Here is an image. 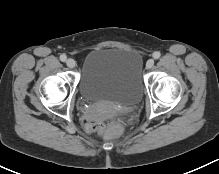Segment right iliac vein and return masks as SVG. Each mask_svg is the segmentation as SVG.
<instances>
[{
	"label": "right iliac vein",
	"mask_w": 219,
	"mask_h": 174,
	"mask_svg": "<svg viewBox=\"0 0 219 174\" xmlns=\"http://www.w3.org/2000/svg\"><path fill=\"white\" fill-rule=\"evenodd\" d=\"M66 65L69 67V68H74L76 66V61L72 58H69L67 59L66 61Z\"/></svg>",
	"instance_id": "right-iliac-vein-1"
}]
</instances>
